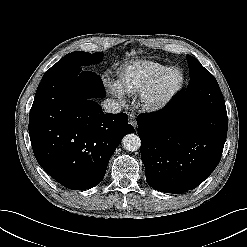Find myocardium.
Returning a JSON list of instances; mask_svg holds the SVG:
<instances>
[{
    "instance_id": "f54148a6",
    "label": "myocardium",
    "mask_w": 247,
    "mask_h": 247,
    "mask_svg": "<svg viewBox=\"0 0 247 247\" xmlns=\"http://www.w3.org/2000/svg\"><path fill=\"white\" fill-rule=\"evenodd\" d=\"M172 74L179 79L171 84L167 81ZM185 83V76L181 69L171 67L160 72L156 78L143 90L142 102L151 110H161L167 107L181 92Z\"/></svg>"
}]
</instances>
